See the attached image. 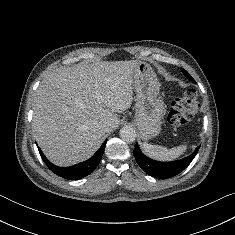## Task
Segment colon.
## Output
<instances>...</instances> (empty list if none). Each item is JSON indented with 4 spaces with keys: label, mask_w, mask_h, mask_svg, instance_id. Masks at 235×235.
I'll list each match as a JSON object with an SVG mask.
<instances>
[{
    "label": "colon",
    "mask_w": 235,
    "mask_h": 235,
    "mask_svg": "<svg viewBox=\"0 0 235 235\" xmlns=\"http://www.w3.org/2000/svg\"><path fill=\"white\" fill-rule=\"evenodd\" d=\"M198 109L197 94L194 90H186L170 105L168 122L175 127L185 125L191 121Z\"/></svg>",
    "instance_id": "obj_1"
}]
</instances>
